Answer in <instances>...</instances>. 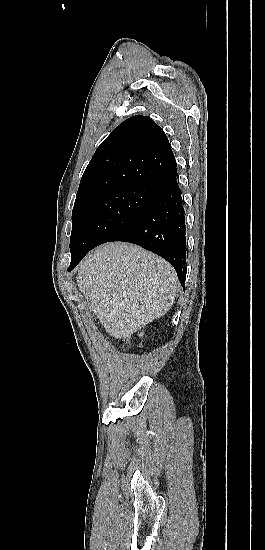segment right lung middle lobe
I'll return each instance as SVG.
<instances>
[{
  "instance_id": "dd1d6c3e",
  "label": "right lung middle lobe",
  "mask_w": 265,
  "mask_h": 550,
  "mask_svg": "<svg viewBox=\"0 0 265 550\" xmlns=\"http://www.w3.org/2000/svg\"><path fill=\"white\" fill-rule=\"evenodd\" d=\"M158 186L123 187L76 202L72 212L70 267L131 225L149 205Z\"/></svg>"
}]
</instances>
